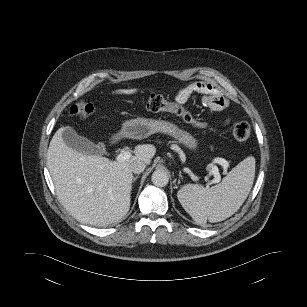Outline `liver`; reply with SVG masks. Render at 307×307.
<instances>
[{
  "label": "liver",
  "mask_w": 307,
  "mask_h": 307,
  "mask_svg": "<svg viewBox=\"0 0 307 307\" xmlns=\"http://www.w3.org/2000/svg\"><path fill=\"white\" fill-rule=\"evenodd\" d=\"M137 92L118 89L114 94ZM62 131L63 128L56 131L47 151V166L59 201L81 223L104 227L118 222L130 209L133 183L130 165L137 160L150 164L155 146L137 145L129 160L111 161L67 146Z\"/></svg>",
  "instance_id": "liver-1"
}]
</instances>
